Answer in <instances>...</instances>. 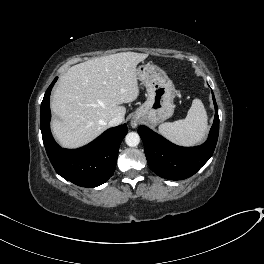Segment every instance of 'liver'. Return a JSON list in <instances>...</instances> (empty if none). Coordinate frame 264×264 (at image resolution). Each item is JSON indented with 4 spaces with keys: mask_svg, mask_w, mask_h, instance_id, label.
Returning <instances> with one entry per match:
<instances>
[{
    "mask_svg": "<svg viewBox=\"0 0 264 264\" xmlns=\"http://www.w3.org/2000/svg\"><path fill=\"white\" fill-rule=\"evenodd\" d=\"M147 57L122 52L70 67L60 77L51 99V109L58 116L51 123L57 142L77 148L103 133L113 117L124 120L123 104L139 95L136 67Z\"/></svg>",
    "mask_w": 264,
    "mask_h": 264,
    "instance_id": "6515ba94",
    "label": "liver"
}]
</instances>
